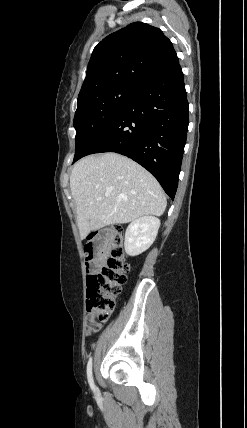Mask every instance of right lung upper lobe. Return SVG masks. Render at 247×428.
Instances as JSON below:
<instances>
[{
  "instance_id": "cb5924a9",
  "label": "right lung upper lobe",
  "mask_w": 247,
  "mask_h": 428,
  "mask_svg": "<svg viewBox=\"0 0 247 428\" xmlns=\"http://www.w3.org/2000/svg\"><path fill=\"white\" fill-rule=\"evenodd\" d=\"M176 62L173 45L159 28L132 23L94 48L79 96L113 86L141 90Z\"/></svg>"
}]
</instances>
